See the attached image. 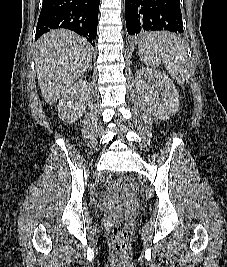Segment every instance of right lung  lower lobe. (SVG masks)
I'll use <instances>...</instances> for the list:
<instances>
[{"label":"right lung lower lobe","instance_id":"1","mask_svg":"<svg viewBox=\"0 0 227 267\" xmlns=\"http://www.w3.org/2000/svg\"><path fill=\"white\" fill-rule=\"evenodd\" d=\"M99 3L100 0H43L36 40L50 29L67 28L94 44Z\"/></svg>","mask_w":227,"mask_h":267}]
</instances>
